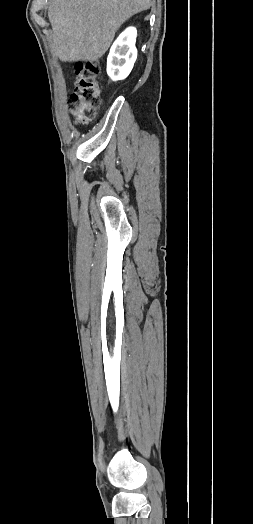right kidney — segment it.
Here are the masks:
<instances>
[{
	"label": "right kidney",
	"instance_id": "obj_1",
	"mask_svg": "<svg viewBox=\"0 0 253 524\" xmlns=\"http://www.w3.org/2000/svg\"><path fill=\"white\" fill-rule=\"evenodd\" d=\"M136 36V29L130 27L113 43L107 58V74L113 81L125 79L130 74L137 58Z\"/></svg>",
	"mask_w": 253,
	"mask_h": 524
}]
</instances>
